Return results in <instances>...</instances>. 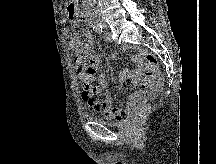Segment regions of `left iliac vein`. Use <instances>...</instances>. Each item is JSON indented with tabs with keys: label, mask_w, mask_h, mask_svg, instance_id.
<instances>
[{
	"label": "left iliac vein",
	"mask_w": 216,
	"mask_h": 164,
	"mask_svg": "<svg viewBox=\"0 0 216 164\" xmlns=\"http://www.w3.org/2000/svg\"><path fill=\"white\" fill-rule=\"evenodd\" d=\"M102 24H103L104 27H106V24L104 22Z\"/></svg>",
	"instance_id": "left-iliac-vein-1"
}]
</instances>
